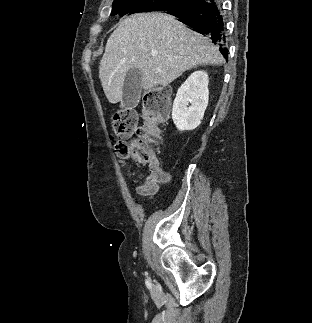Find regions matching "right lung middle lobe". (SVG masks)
<instances>
[{
	"mask_svg": "<svg viewBox=\"0 0 312 323\" xmlns=\"http://www.w3.org/2000/svg\"><path fill=\"white\" fill-rule=\"evenodd\" d=\"M189 0H114L111 15L124 16L148 11H163L183 6Z\"/></svg>",
	"mask_w": 312,
	"mask_h": 323,
	"instance_id": "1",
	"label": "right lung middle lobe"
}]
</instances>
